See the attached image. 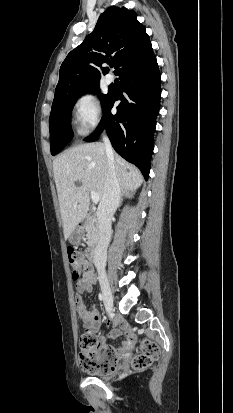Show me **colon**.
<instances>
[{
  "label": "colon",
  "mask_w": 233,
  "mask_h": 413,
  "mask_svg": "<svg viewBox=\"0 0 233 413\" xmlns=\"http://www.w3.org/2000/svg\"><path fill=\"white\" fill-rule=\"evenodd\" d=\"M69 263L72 268L73 280H87L92 276V268L83 253L68 248ZM80 365L88 373L105 374L113 371L117 364V354L111 348L101 349L98 338L90 333H84L79 338ZM158 345L145 339L140 346V353L133 359L132 367L136 370L145 369L159 356Z\"/></svg>",
  "instance_id": "1"
}]
</instances>
